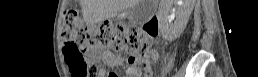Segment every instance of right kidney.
Here are the masks:
<instances>
[{"label":"right kidney","mask_w":258,"mask_h":77,"mask_svg":"<svg viewBox=\"0 0 258 77\" xmlns=\"http://www.w3.org/2000/svg\"><path fill=\"white\" fill-rule=\"evenodd\" d=\"M175 2H176V0H174L173 3H175ZM177 2H178L179 4H182V3H180V2H183V1H182V0H177ZM194 2H195V0H191V5H190L189 7H187V9L185 10V18H184V20H183L181 23H175V25H174V27H173V30H172L173 37H175V38L178 37V35H180V33L183 31V29H184V27H185V25H186V22H187V20H188V17H189V15H190L191 11H192ZM173 3H172V4H173ZM172 4H161V5H160V7H161L162 9H164V11H165L164 18H167V17H168L167 13H168L169 8H170V6H171ZM169 18L172 19V16L169 17Z\"/></svg>","instance_id":"obj_1"}]
</instances>
